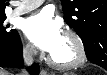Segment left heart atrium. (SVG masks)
Wrapping results in <instances>:
<instances>
[{
	"instance_id": "1",
	"label": "left heart atrium",
	"mask_w": 107,
	"mask_h": 75,
	"mask_svg": "<svg viewBox=\"0 0 107 75\" xmlns=\"http://www.w3.org/2000/svg\"><path fill=\"white\" fill-rule=\"evenodd\" d=\"M24 31L35 45L51 54L63 38L59 21L55 20L49 11H41L29 17L25 21Z\"/></svg>"
}]
</instances>
